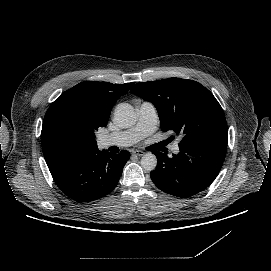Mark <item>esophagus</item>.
Returning <instances> with one entry per match:
<instances>
[{
    "label": "esophagus",
    "mask_w": 271,
    "mask_h": 271,
    "mask_svg": "<svg viewBox=\"0 0 271 271\" xmlns=\"http://www.w3.org/2000/svg\"><path fill=\"white\" fill-rule=\"evenodd\" d=\"M132 154L137 155V156H143L145 155V152L140 151V150H133Z\"/></svg>",
    "instance_id": "1"
}]
</instances>
